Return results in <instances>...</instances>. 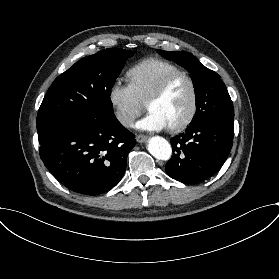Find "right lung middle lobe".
<instances>
[{
	"label": "right lung middle lobe",
	"instance_id": "right-lung-middle-lobe-1",
	"mask_svg": "<svg viewBox=\"0 0 279 279\" xmlns=\"http://www.w3.org/2000/svg\"><path fill=\"white\" fill-rule=\"evenodd\" d=\"M133 52L110 48L82 58L52 83L37 114V130L49 122L115 118L111 89Z\"/></svg>",
	"mask_w": 279,
	"mask_h": 279
}]
</instances>
